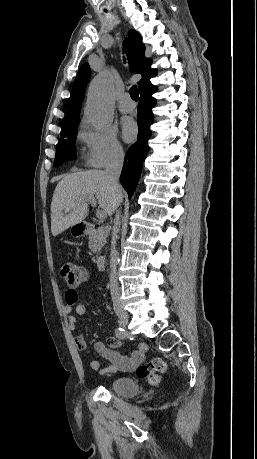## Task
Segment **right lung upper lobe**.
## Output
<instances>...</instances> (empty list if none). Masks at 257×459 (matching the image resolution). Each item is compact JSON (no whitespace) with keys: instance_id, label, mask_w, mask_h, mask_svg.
Wrapping results in <instances>:
<instances>
[{"instance_id":"1","label":"right lung upper lobe","mask_w":257,"mask_h":459,"mask_svg":"<svg viewBox=\"0 0 257 459\" xmlns=\"http://www.w3.org/2000/svg\"><path fill=\"white\" fill-rule=\"evenodd\" d=\"M123 44L131 71L142 75V79L138 82L140 90L143 86L150 83V78L156 75V70L150 68L151 61L145 57V45L138 32L130 30ZM90 75L91 70L88 63L83 64L74 80L71 95L66 104V115L62 120L61 132L79 124L80 107Z\"/></svg>"}]
</instances>
